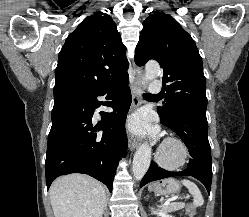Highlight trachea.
Masks as SVG:
<instances>
[{
	"label": "trachea",
	"instance_id": "3493384b",
	"mask_svg": "<svg viewBox=\"0 0 249 217\" xmlns=\"http://www.w3.org/2000/svg\"><path fill=\"white\" fill-rule=\"evenodd\" d=\"M143 96H144V97H150V96H153V95H152V94L146 93V94H144Z\"/></svg>",
	"mask_w": 249,
	"mask_h": 217
}]
</instances>
